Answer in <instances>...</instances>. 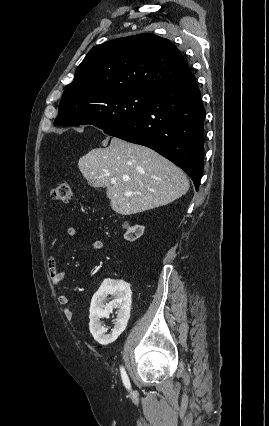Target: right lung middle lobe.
Wrapping results in <instances>:
<instances>
[{"instance_id": "right-lung-middle-lobe-1", "label": "right lung middle lobe", "mask_w": 269, "mask_h": 426, "mask_svg": "<svg viewBox=\"0 0 269 426\" xmlns=\"http://www.w3.org/2000/svg\"><path fill=\"white\" fill-rule=\"evenodd\" d=\"M152 92L128 90L82 98L77 94L62 97L54 124H91L109 130L138 116L147 106Z\"/></svg>"}]
</instances>
